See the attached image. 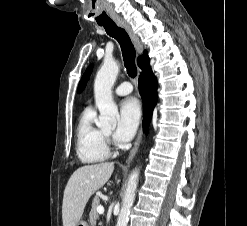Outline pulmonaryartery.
Returning a JSON list of instances; mask_svg holds the SVG:
<instances>
[{"instance_id":"e3ab8cb5","label":"pulmonary artery","mask_w":247,"mask_h":226,"mask_svg":"<svg viewBox=\"0 0 247 226\" xmlns=\"http://www.w3.org/2000/svg\"><path fill=\"white\" fill-rule=\"evenodd\" d=\"M133 86L130 82H122L120 85H118L115 89V94L118 96H125L132 92Z\"/></svg>"}]
</instances>
